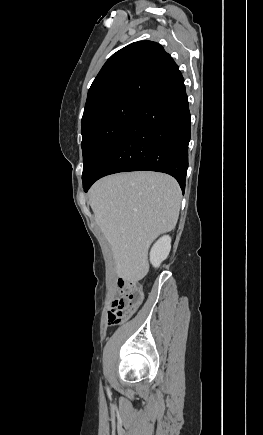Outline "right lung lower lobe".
I'll use <instances>...</instances> for the list:
<instances>
[{
    "mask_svg": "<svg viewBox=\"0 0 263 435\" xmlns=\"http://www.w3.org/2000/svg\"><path fill=\"white\" fill-rule=\"evenodd\" d=\"M189 140V104L180 73L143 103L83 188L109 174L150 170L173 176L184 192Z\"/></svg>",
    "mask_w": 263,
    "mask_h": 435,
    "instance_id": "right-lung-lower-lobe-1",
    "label": "right lung lower lobe"
}]
</instances>
